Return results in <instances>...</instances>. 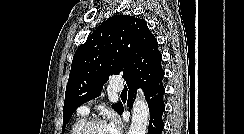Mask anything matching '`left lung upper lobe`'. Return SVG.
<instances>
[{"instance_id":"5c2ea615","label":"left lung upper lobe","mask_w":244,"mask_h":134,"mask_svg":"<svg viewBox=\"0 0 244 134\" xmlns=\"http://www.w3.org/2000/svg\"><path fill=\"white\" fill-rule=\"evenodd\" d=\"M162 55L147 23L129 15L104 21L76 50L65 92L63 129L74 111L98 97L110 75L121 74L128 89H142L164 77ZM126 65V66H125ZM120 112L121 103L113 104Z\"/></svg>"}]
</instances>
